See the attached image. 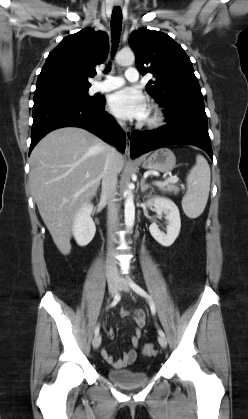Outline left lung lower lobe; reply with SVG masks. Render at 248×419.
Returning <instances> with one entry per match:
<instances>
[{
  "mask_svg": "<svg viewBox=\"0 0 248 419\" xmlns=\"http://www.w3.org/2000/svg\"><path fill=\"white\" fill-rule=\"evenodd\" d=\"M168 124L156 130L133 132L131 157L168 145H194L203 149L213 160L204 105H189L165 112Z\"/></svg>",
  "mask_w": 248,
  "mask_h": 419,
  "instance_id": "left-lung-lower-lobe-1",
  "label": "left lung lower lobe"
}]
</instances>
